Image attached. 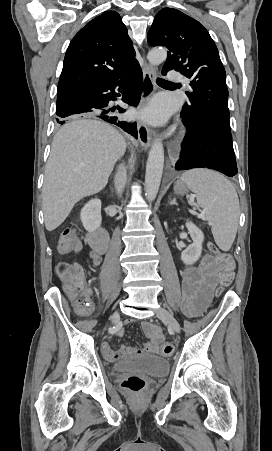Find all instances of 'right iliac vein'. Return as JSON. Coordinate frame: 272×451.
<instances>
[{
  "label": "right iliac vein",
  "mask_w": 272,
  "mask_h": 451,
  "mask_svg": "<svg viewBox=\"0 0 272 451\" xmlns=\"http://www.w3.org/2000/svg\"><path fill=\"white\" fill-rule=\"evenodd\" d=\"M119 318H120L119 312H118V311H115V312L113 313V315H112L111 321L113 322V321H115V320H117V319H119Z\"/></svg>",
  "instance_id": "1"
}]
</instances>
